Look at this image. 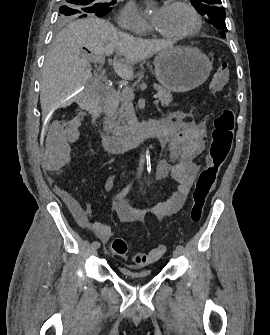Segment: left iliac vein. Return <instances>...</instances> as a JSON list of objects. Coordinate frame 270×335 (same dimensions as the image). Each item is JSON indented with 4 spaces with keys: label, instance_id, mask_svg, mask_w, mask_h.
Here are the masks:
<instances>
[{
    "label": "left iliac vein",
    "instance_id": "left-iliac-vein-1",
    "mask_svg": "<svg viewBox=\"0 0 270 335\" xmlns=\"http://www.w3.org/2000/svg\"><path fill=\"white\" fill-rule=\"evenodd\" d=\"M181 254H182V252L179 251L178 249H175V250L173 251V255H174L175 257H179Z\"/></svg>",
    "mask_w": 270,
    "mask_h": 335
}]
</instances>
